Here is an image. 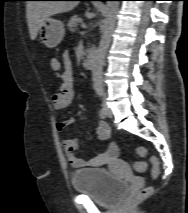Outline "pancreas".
<instances>
[{"instance_id":"pancreas-1","label":"pancreas","mask_w":188,"mask_h":213,"mask_svg":"<svg viewBox=\"0 0 188 213\" xmlns=\"http://www.w3.org/2000/svg\"><path fill=\"white\" fill-rule=\"evenodd\" d=\"M83 23V19L79 15H73L68 21V28L71 32H75L78 29L79 24Z\"/></svg>"}]
</instances>
